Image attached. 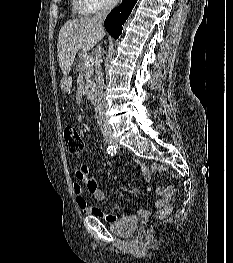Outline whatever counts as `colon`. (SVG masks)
<instances>
[{"label": "colon", "mask_w": 233, "mask_h": 263, "mask_svg": "<svg viewBox=\"0 0 233 263\" xmlns=\"http://www.w3.org/2000/svg\"><path fill=\"white\" fill-rule=\"evenodd\" d=\"M64 141H65V148L69 155H77L83 149V141L80 136L79 131L74 126H68L64 130ZM154 170H165L162 166H155ZM172 210L171 205H166L162 209L159 210L157 214L158 219H164L167 217Z\"/></svg>", "instance_id": "1"}]
</instances>
